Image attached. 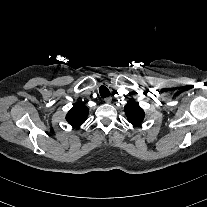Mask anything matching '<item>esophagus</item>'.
<instances>
[{
	"instance_id": "obj_1",
	"label": "esophagus",
	"mask_w": 207,
	"mask_h": 207,
	"mask_svg": "<svg viewBox=\"0 0 207 207\" xmlns=\"http://www.w3.org/2000/svg\"><path fill=\"white\" fill-rule=\"evenodd\" d=\"M104 101H105L106 103H110V102L112 101V97H110V96L105 97V98H104Z\"/></svg>"
}]
</instances>
